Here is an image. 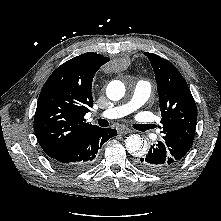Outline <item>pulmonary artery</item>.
Returning <instances> with one entry per match:
<instances>
[{
  "instance_id": "pulmonary-artery-1",
  "label": "pulmonary artery",
  "mask_w": 221,
  "mask_h": 221,
  "mask_svg": "<svg viewBox=\"0 0 221 221\" xmlns=\"http://www.w3.org/2000/svg\"><path fill=\"white\" fill-rule=\"evenodd\" d=\"M151 94V84L146 80L136 83L133 94L126 103L103 111L100 116L106 119H115L126 116L146 103Z\"/></svg>"
}]
</instances>
